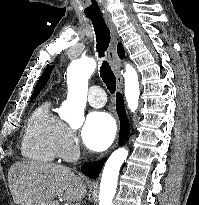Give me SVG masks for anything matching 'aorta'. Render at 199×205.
Segmentation results:
<instances>
[{
    "instance_id": "aorta-1",
    "label": "aorta",
    "mask_w": 199,
    "mask_h": 205,
    "mask_svg": "<svg viewBox=\"0 0 199 205\" xmlns=\"http://www.w3.org/2000/svg\"><path fill=\"white\" fill-rule=\"evenodd\" d=\"M96 68L93 58L82 57L73 60L67 69L68 96L62 109L71 126L81 125L84 121V107L87 101L88 80ZM124 94L129 109L134 112L138 107L140 90L136 70L126 65L124 74ZM128 156V150L119 148L108 158L102 173L99 205H112L116 193L120 168Z\"/></svg>"
}]
</instances>
